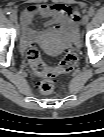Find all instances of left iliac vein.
Segmentation results:
<instances>
[{
  "mask_svg": "<svg viewBox=\"0 0 104 137\" xmlns=\"http://www.w3.org/2000/svg\"><path fill=\"white\" fill-rule=\"evenodd\" d=\"M89 21V16L88 15H84L83 18H82V24L83 25H86Z\"/></svg>",
  "mask_w": 104,
  "mask_h": 137,
  "instance_id": "obj_1",
  "label": "left iliac vein"
}]
</instances>
